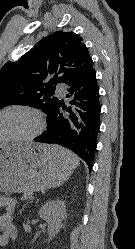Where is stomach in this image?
<instances>
[{"instance_id":"obj_1","label":"stomach","mask_w":135,"mask_h":249,"mask_svg":"<svg viewBox=\"0 0 135 249\" xmlns=\"http://www.w3.org/2000/svg\"><path fill=\"white\" fill-rule=\"evenodd\" d=\"M75 165L59 147L43 144L0 145V191L33 192L59 186Z\"/></svg>"}]
</instances>
